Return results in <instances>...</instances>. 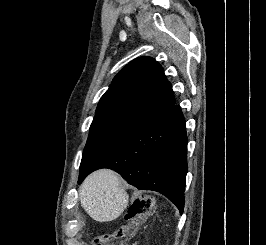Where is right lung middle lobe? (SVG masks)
<instances>
[{
  "label": "right lung middle lobe",
  "mask_w": 266,
  "mask_h": 245,
  "mask_svg": "<svg viewBox=\"0 0 266 245\" xmlns=\"http://www.w3.org/2000/svg\"><path fill=\"white\" fill-rule=\"evenodd\" d=\"M141 121L119 115L95 116L83 151L80 174L98 157L123 139Z\"/></svg>",
  "instance_id": "1"
}]
</instances>
